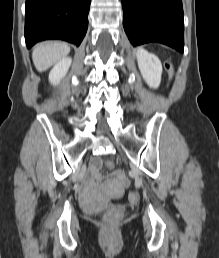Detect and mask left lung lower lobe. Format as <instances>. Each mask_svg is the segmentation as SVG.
I'll use <instances>...</instances> for the list:
<instances>
[{
	"label": "left lung lower lobe",
	"mask_w": 219,
	"mask_h": 258,
	"mask_svg": "<svg viewBox=\"0 0 219 258\" xmlns=\"http://www.w3.org/2000/svg\"><path fill=\"white\" fill-rule=\"evenodd\" d=\"M123 26L133 46L159 42L184 49L182 0H122Z\"/></svg>",
	"instance_id": "obj_1"
}]
</instances>
